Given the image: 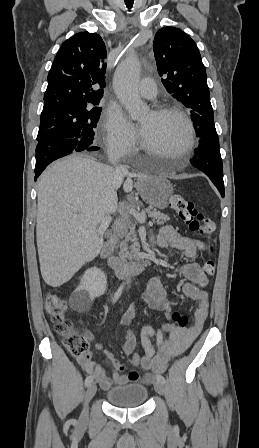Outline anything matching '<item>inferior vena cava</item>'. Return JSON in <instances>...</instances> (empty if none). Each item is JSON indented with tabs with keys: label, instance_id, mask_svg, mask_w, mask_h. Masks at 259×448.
I'll use <instances>...</instances> for the list:
<instances>
[{
	"label": "inferior vena cava",
	"instance_id": "1",
	"mask_svg": "<svg viewBox=\"0 0 259 448\" xmlns=\"http://www.w3.org/2000/svg\"><path fill=\"white\" fill-rule=\"evenodd\" d=\"M108 158H109V162H111V164H114L116 174H119V176H122V174H125V172H127V170H126V168H124V166H116V162H118V160L120 158V154H118L117 146H115V148H112ZM113 228H114V232H118L119 228H122V224H121L120 220H116Z\"/></svg>",
	"mask_w": 259,
	"mask_h": 448
}]
</instances>
